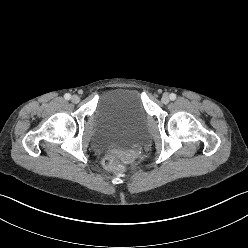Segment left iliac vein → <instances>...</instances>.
<instances>
[{
	"label": "left iliac vein",
	"instance_id": "4c4485c4",
	"mask_svg": "<svg viewBox=\"0 0 248 248\" xmlns=\"http://www.w3.org/2000/svg\"><path fill=\"white\" fill-rule=\"evenodd\" d=\"M162 103L167 104L170 101L169 95L167 93L163 94L161 98Z\"/></svg>",
	"mask_w": 248,
	"mask_h": 248
}]
</instances>
